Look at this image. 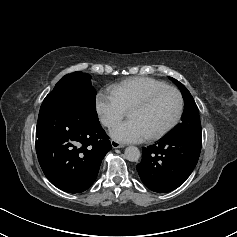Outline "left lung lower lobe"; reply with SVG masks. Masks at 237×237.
<instances>
[{"label": "left lung lower lobe", "mask_w": 237, "mask_h": 237, "mask_svg": "<svg viewBox=\"0 0 237 237\" xmlns=\"http://www.w3.org/2000/svg\"><path fill=\"white\" fill-rule=\"evenodd\" d=\"M201 146L202 134H186L143 148L142 161L136 166L142 182L159 193L178 188L195 168Z\"/></svg>", "instance_id": "obj_1"}]
</instances>
